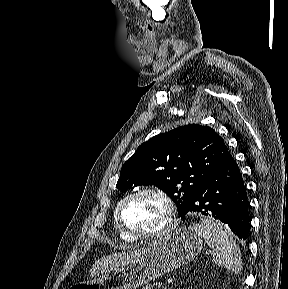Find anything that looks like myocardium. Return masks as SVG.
Here are the masks:
<instances>
[{
  "label": "myocardium",
  "instance_id": "obj_1",
  "mask_svg": "<svg viewBox=\"0 0 288 289\" xmlns=\"http://www.w3.org/2000/svg\"><path fill=\"white\" fill-rule=\"evenodd\" d=\"M149 194L160 198L166 205L167 208V221L166 224L160 229L154 232L148 233H139L131 230L124 222V213L127 207L138 197ZM117 222L120 229L130 238L134 240H153L162 238L168 234H170L178 224V208L174 200L164 191L152 188V187H144L138 189L128 195L126 199L121 203L118 211H117Z\"/></svg>",
  "mask_w": 288,
  "mask_h": 289
}]
</instances>
